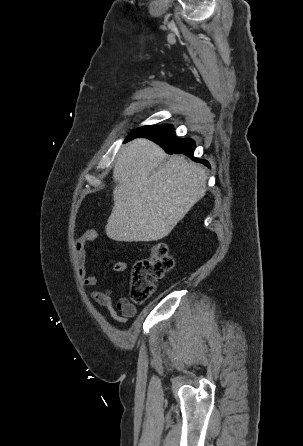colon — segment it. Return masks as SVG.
<instances>
[{"label": "colon", "mask_w": 303, "mask_h": 446, "mask_svg": "<svg viewBox=\"0 0 303 446\" xmlns=\"http://www.w3.org/2000/svg\"><path fill=\"white\" fill-rule=\"evenodd\" d=\"M174 266V259L164 243L156 242L150 247L148 257L132 266L129 276V299L134 304H142L150 299L156 290L155 283L164 277Z\"/></svg>", "instance_id": "obj_1"}]
</instances>
